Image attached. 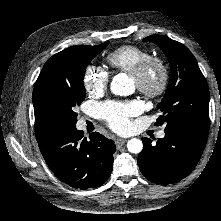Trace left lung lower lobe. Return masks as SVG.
I'll return each instance as SVG.
<instances>
[{
  "label": "left lung lower lobe",
  "mask_w": 221,
  "mask_h": 221,
  "mask_svg": "<svg viewBox=\"0 0 221 221\" xmlns=\"http://www.w3.org/2000/svg\"><path fill=\"white\" fill-rule=\"evenodd\" d=\"M165 137L152 144L143 138L138 165L142 174L158 184H170L188 176L197 165L205 148L208 134L189 128H172ZM154 139V138H153Z\"/></svg>",
  "instance_id": "obj_1"
}]
</instances>
